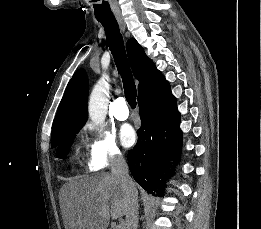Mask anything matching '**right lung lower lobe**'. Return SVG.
Returning <instances> with one entry per match:
<instances>
[{
  "label": "right lung lower lobe",
  "mask_w": 261,
  "mask_h": 229,
  "mask_svg": "<svg viewBox=\"0 0 261 229\" xmlns=\"http://www.w3.org/2000/svg\"><path fill=\"white\" fill-rule=\"evenodd\" d=\"M138 104L142 126L136 146L128 152L129 169L148 193L163 196L169 161H178L182 146L176 98L164 78L138 95Z\"/></svg>",
  "instance_id": "98d812e1"
}]
</instances>
